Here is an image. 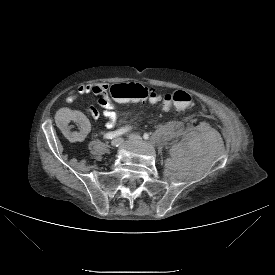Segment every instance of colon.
Returning <instances> with one entry per match:
<instances>
[{"mask_svg":"<svg viewBox=\"0 0 275 275\" xmlns=\"http://www.w3.org/2000/svg\"><path fill=\"white\" fill-rule=\"evenodd\" d=\"M113 98L123 102H155L157 94L140 84L116 85L110 89ZM165 108L174 106L180 110H187L193 104V98L190 93L184 90H177L167 93L163 98Z\"/></svg>","mask_w":275,"mask_h":275,"instance_id":"5ec220e1","label":"colon"}]
</instances>
